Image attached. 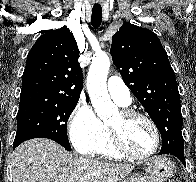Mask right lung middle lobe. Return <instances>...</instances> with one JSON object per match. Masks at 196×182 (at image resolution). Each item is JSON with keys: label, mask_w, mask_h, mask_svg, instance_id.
Masks as SVG:
<instances>
[{"label": "right lung middle lobe", "mask_w": 196, "mask_h": 182, "mask_svg": "<svg viewBox=\"0 0 196 182\" xmlns=\"http://www.w3.org/2000/svg\"><path fill=\"white\" fill-rule=\"evenodd\" d=\"M78 101L36 102L20 106L13 147L32 138H49L70 151L67 121Z\"/></svg>", "instance_id": "right-lung-middle-lobe-1"}]
</instances>
